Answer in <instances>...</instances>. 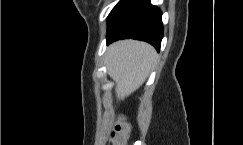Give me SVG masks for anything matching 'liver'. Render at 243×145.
I'll list each match as a JSON object with an SVG mask.
<instances>
[{
  "label": "liver",
  "instance_id": "obj_1",
  "mask_svg": "<svg viewBox=\"0 0 243 145\" xmlns=\"http://www.w3.org/2000/svg\"><path fill=\"white\" fill-rule=\"evenodd\" d=\"M155 59V49L144 42L123 40L110 45L106 65L116 82L117 99L124 100L145 82Z\"/></svg>",
  "mask_w": 243,
  "mask_h": 145
}]
</instances>
